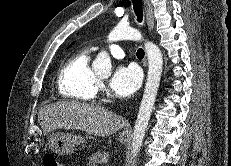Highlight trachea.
Instances as JSON below:
<instances>
[{"mask_svg":"<svg viewBox=\"0 0 231 166\" xmlns=\"http://www.w3.org/2000/svg\"><path fill=\"white\" fill-rule=\"evenodd\" d=\"M133 9L137 16V21L141 22L143 19V9H142V0H132ZM137 58L142 59L145 55V52L142 48L137 50Z\"/></svg>","mask_w":231,"mask_h":166,"instance_id":"3493384b","label":"trachea"}]
</instances>
